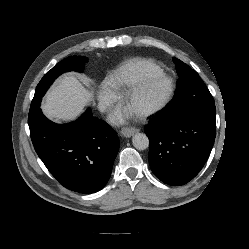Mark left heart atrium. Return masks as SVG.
<instances>
[{
    "instance_id": "left-heart-atrium-1",
    "label": "left heart atrium",
    "mask_w": 249,
    "mask_h": 249,
    "mask_svg": "<svg viewBox=\"0 0 249 249\" xmlns=\"http://www.w3.org/2000/svg\"><path fill=\"white\" fill-rule=\"evenodd\" d=\"M128 113H126V112H117L116 114H115V120L116 121H121V120H123V118L127 115Z\"/></svg>"
}]
</instances>
